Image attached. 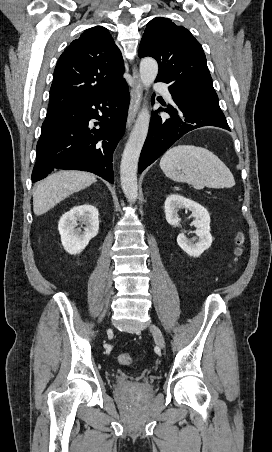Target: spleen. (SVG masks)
Returning a JSON list of instances; mask_svg holds the SVG:
<instances>
[{
  "label": "spleen",
  "mask_w": 272,
  "mask_h": 452,
  "mask_svg": "<svg viewBox=\"0 0 272 452\" xmlns=\"http://www.w3.org/2000/svg\"><path fill=\"white\" fill-rule=\"evenodd\" d=\"M164 174L195 189L231 188L235 185L229 168L211 151L193 145L170 148L160 160Z\"/></svg>",
  "instance_id": "spleen-1"
}]
</instances>
